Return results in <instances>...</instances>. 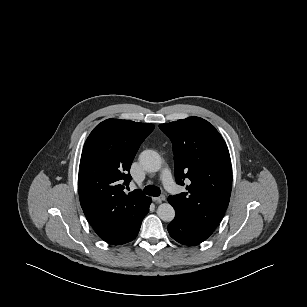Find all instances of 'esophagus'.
Masks as SVG:
<instances>
[{"label": "esophagus", "mask_w": 307, "mask_h": 307, "mask_svg": "<svg viewBox=\"0 0 307 307\" xmlns=\"http://www.w3.org/2000/svg\"><path fill=\"white\" fill-rule=\"evenodd\" d=\"M165 196L164 195H161V196H159V197H153L152 198V200L154 201V202H157V203H160V202H162V201H165Z\"/></svg>", "instance_id": "1"}]
</instances>
